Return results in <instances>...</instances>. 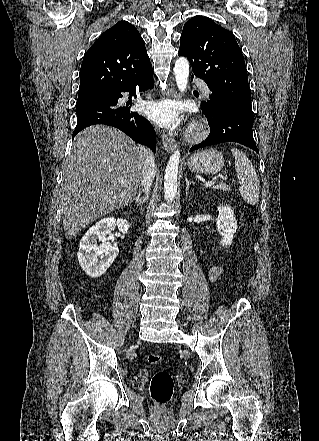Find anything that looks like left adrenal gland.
I'll return each mask as SVG.
<instances>
[{
	"label": "left adrenal gland",
	"instance_id": "a2214340",
	"mask_svg": "<svg viewBox=\"0 0 319 441\" xmlns=\"http://www.w3.org/2000/svg\"><path fill=\"white\" fill-rule=\"evenodd\" d=\"M185 181H186V196H188V193H189V186L191 185V184H195L193 181H189L188 180V178L187 177H185Z\"/></svg>",
	"mask_w": 319,
	"mask_h": 441
}]
</instances>
